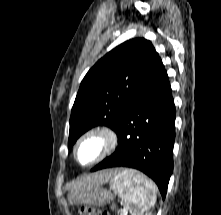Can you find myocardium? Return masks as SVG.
Here are the masks:
<instances>
[{
  "instance_id": "1",
  "label": "myocardium",
  "mask_w": 221,
  "mask_h": 215,
  "mask_svg": "<svg viewBox=\"0 0 221 215\" xmlns=\"http://www.w3.org/2000/svg\"><path fill=\"white\" fill-rule=\"evenodd\" d=\"M90 141L97 143V151L90 160L82 161L80 159V150ZM117 145L118 136L113 129L107 126H96L87 130L77 139L73 148V157L80 166L89 167L110 155Z\"/></svg>"
}]
</instances>
